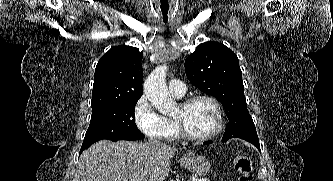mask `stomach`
<instances>
[{
	"label": "stomach",
	"mask_w": 333,
	"mask_h": 181,
	"mask_svg": "<svg viewBox=\"0 0 333 181\" xmlns=\"http://www.w3.org/2000/svg\"><path fill=\"white\" fill-rule=\"evenodd\" d=\"M181 165L195 176H205L211 168V164L204 156L196 155L188 150L180 157Z\"/></svg>",
	"instance_id": "obj_1"
}]
</instances>
